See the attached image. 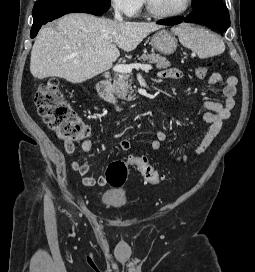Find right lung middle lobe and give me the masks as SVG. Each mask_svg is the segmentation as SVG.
Wrapping results in <instances>:
<instances>
[{
	"mask_svg": "<svg viewBox=\"0 0 255 272\" xmlns=\"http://www.w3.org/2000/svg\"><path fill=\"white\" fill-rule=\"evenodd\" d=\"M39 1H43V0H39ZM74 1H78L85 5L92 6L104 13L109 9L111 5V0H74Z\"/></svg>",
	"mask_w": 255,
	"mask_h": 272,
	"instance_id": "1",
	"label": "right lung middle lobe"
}]
</instances>
